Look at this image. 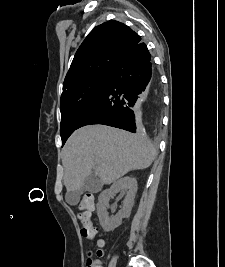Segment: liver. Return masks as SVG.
<instances>
[{"mask_svg": "<svg viewBox=\"0 0 225 267\" xmlns=\"http://www.w3.org/2000/svg\"><path fill=\"white\" fill-rule=\"evenodd\" d=\"M155 157L145 134L87 125L76 130L62 149L64 185L67 192L79 190L93 171L103 184H110L131 170L148 168Z\"/></svg>", "mask_w": 225, "mask_h": 267, "instance_id": "6515ba94", "label": "liver"}]
</instances>
